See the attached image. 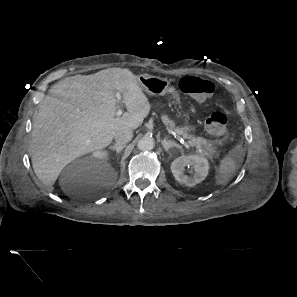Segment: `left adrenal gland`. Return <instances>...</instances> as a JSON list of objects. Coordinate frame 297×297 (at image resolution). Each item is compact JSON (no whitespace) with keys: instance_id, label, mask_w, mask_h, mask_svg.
<instances>
[{"instance_id":"left-adrenal-gland-1","label":"left adrenal gland","mask_w":297,"mask_h":297,"mask_svg":"<svg viewBox=\"0 0 297 297\" xmlns=\"http://www.w3.org/2000/svg\"><path fill=\"white\" fill-rule=\"evenodd\" d=\"M161 143H162V146L166 152H168L169 149L174 148V147H176L178 149H182V147L179 144H177L175 141H172V140H168V141L163 140V141H161Z\"/></svg>"}]
</instances>
